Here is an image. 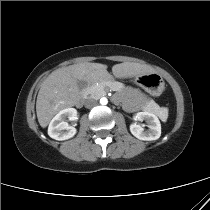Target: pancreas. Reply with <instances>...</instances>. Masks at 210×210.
Here are the masks:
<instances>
[{"label": "pancreas", "instance_id": "cf45deb5", "mask_svg": "<svg viewBox=\"0 0 210 210\" xmlns=\"http://www.w3.org/2000/svg\"><path fill=\"white\" fill-rule=\"evenodd\" d=\"M123 87L124 85L120 82L108 81L106 83L91 85L88 89V93L91 97L100 98L106 94L107 88L114 91H120ZM145 108L147 111H158L160 109V107L152 100L149 101Z\"/></svg>", "mask_w": 210, "mask_h": 210}]
</instances>
